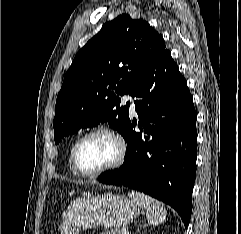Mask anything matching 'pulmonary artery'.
<instances>
[{
	"mask_svg": "<svg viewBox=\"0 0 241 234\" xmlns=\"http://www.w3.org/2000/svg\"><path fill=\"white\" fill-rule=\"evenodd\" d=\"M124 101L128 102L130 104V110L132 112H134L135 111V107H136L135 98L132 97L131 95H125L124 96Z\"/></svg>",
	"mask_w": 241,
	"mask_h": 234,
	"instance_id": "obj_1",
	"label": "pulmonary artery"
}]
</instances>
